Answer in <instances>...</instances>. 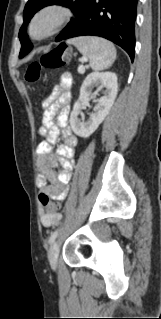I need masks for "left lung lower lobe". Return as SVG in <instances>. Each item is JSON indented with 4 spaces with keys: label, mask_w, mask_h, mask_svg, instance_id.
<instances>
[{
    "label": "left lung lower lobe",
    "mask_w": 161,
    "mask_h": 319,
    "mask_svg": "<svg viewBox=\"0 0 161 319\" xmlns=\"http://www.w3.org/2000/svg\"><path fill=\"white\" fill-rule=\"evenodd\" d=\"M137 2L138 0H90L81 19L63 39L85 35L100 36L122 47L133 61ZM29 49L28 44L19 57H24Z\"/></svg>",
    "instance_id": "1"
}]
</instances>
